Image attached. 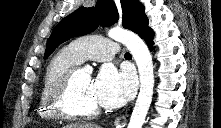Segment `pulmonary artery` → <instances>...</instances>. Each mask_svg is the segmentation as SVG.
Wrapping results in <instances>:
<instances>
[{"label":"pulmonary artery","instance_id":"obj_1","mask_svg":"<svg viewBox=\"0 0 221 128\" xmlns=\"http://www.w3.org/2000/svg\"><path fill=\"white\" fill-rule=\"evenodd\" d=\"M70 46L79 54L82 61L87 59L107 61L123 56L118 42L104 40L94 35L76 38Z\"/></svg>","mask_w":221,"mask_h":128}]
</instances>
